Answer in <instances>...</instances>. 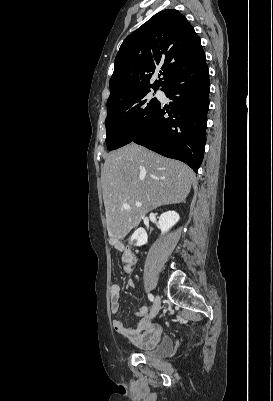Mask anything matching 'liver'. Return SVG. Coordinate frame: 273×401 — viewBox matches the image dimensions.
Listing matches in <instances>:
<instances>
[{
  "label": "liver",
  "mask_w": 273,
  "mask_h": 401,
  "mask_svg": "<svg viewBox=\"0 0 273 401\" xmlns=\"http://www.w3.org/2000/svg\"><path fill=\"white\" fill-rule=\"evenodd\" d=\"M194 176L184 162L160 156L135 142L110 152L102 170L110 241L124 239L148 211L183 203ZM135 203H142V207H135ZM124 205H130V209H124Z\"/></svg>",
  "instance_id": "obj_1"
}]
</instances>
